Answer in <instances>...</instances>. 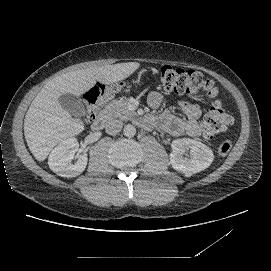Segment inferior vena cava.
Masks as SVG:
<instances>
[{
	"instance_id": "obj_1",
	"label": "inferior vena cava",
	"mask_w": 271,
	"mask_h": 271,
	"mask_svg": "<svg viewBox=\"0 0 271 271\" xmlns=\"http://www.w3.org/2000/svg\"><path fill=\"white\" fill-rule=\"evenodd\" d=\"M123 122L117 119H110L106 125V133L109 135H115L121 131Z\"/></svg>"
}]
</instances>
